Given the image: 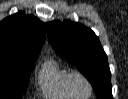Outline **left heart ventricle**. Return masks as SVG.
<instances>
[{"instance_id":"1","label":"left heart ventricle","mask_w":128,"mask_h":99,"mask_svg":"<svg viewBox=\"0 0 128 99\" xmlns=\"http://www.w3.org/2000/svg\"><path fill=\"white\" fill-rule=\"evenodd\" d=\"M73 87L76 94L80 97H86L89 94V88L87 84L81 79H75L73 81Z\"/></svg>"}]
</instances>
